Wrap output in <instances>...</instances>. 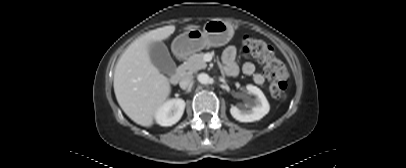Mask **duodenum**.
Instances as JSON below:
<instances>
[{
  "label": "duodenum",
  "instance_id": "1",
  "mask_svg": "<svg viewBox=\"0 0 406 168\" xmlns=\"http://www.w3.org/2000/svg\"><path fill=\"white\" fill-rule=\"evenodd\" d=\"M180 77H181V71H179V70H173L171 73H169V79L174 84L178 83Z\"/></svg>",
  "mask_w": 406,
  "mask_h": 168
}]
</instances>
